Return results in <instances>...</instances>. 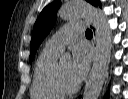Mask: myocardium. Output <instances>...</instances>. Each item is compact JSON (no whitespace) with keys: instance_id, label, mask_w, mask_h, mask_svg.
Instances as JSON below:
<instances>
[{"instance_id":"obj_1","label":"myocardium","mask_w":128,"mask_h":99,"mask_svg":"<svg viewBox=\"0 0 128 99\" xmlns=\"http://www.w3.org/2000/svg\"><path fill=\"white\" fill-rule=\"evenodd\" d=\"M52 81L54 86L64 95L73 94L79 89L78 83L73 86H68L67 84H65L60 70V62L56 63L53 69Z\"/></svg>"}]
</instances>
